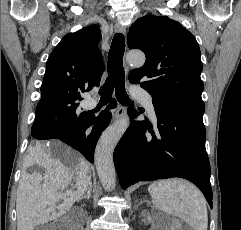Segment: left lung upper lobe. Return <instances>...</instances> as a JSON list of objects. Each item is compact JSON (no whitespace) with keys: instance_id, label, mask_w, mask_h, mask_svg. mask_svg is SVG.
Returning <instances> with one entry per match:
<instances>
[{"instance_id":"obj_1","label":"left lung upper lobe","mask_w":241,"mask_h":230,"mask_svg":"<svg viewBox=\"0 0 241 230\" xmlns=\"http://www.w3.org/2000/svg\"><path fill=\"white\" fill-rule=\"evenodd\" d=\"M127 42L146 55L143 67L130 72L131 83L140 84L154 101L204 113L200 49L188 30L167 16L149 15L132 24Z\"/></svg>"}]
</instances>
